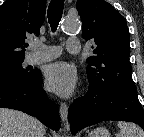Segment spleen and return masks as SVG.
I'll list each match as a JSON object with an SVG mask.
<instances>
[{"instance_id":"3e777b00","label":"spleen","mask_w":144,"mask_h":137,"mask_svg":"<svg viewBox=\"0 0 144 137\" xmlns=\"http://www.w3.org/2000/svg\"><path fill=\"white\" fill-rule=\"evenodd\" d=\"M117 125L120 132L116 137H144V132L134 123L120 121Z\"/></svg>"}]
</instances>
